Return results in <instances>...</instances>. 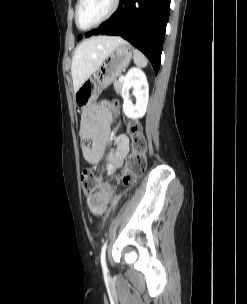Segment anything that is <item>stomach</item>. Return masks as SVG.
I'll return each instance as SVG.
<instances>
[{"instance_id":"stomach-1","label":"stomach","mask_w":247,"mask_h":304,"mask_svg":"<svg viewBox=\"0 0 247 304\" xmlns=\"http://www.w3.org/2000/svg\"><path fill=\"white\" fill-rule=\"evenodd\" d=\"M132 59V47L121 44L113 50L93 74L75 92L74 101L82 109L89 108L98 98L101 91L114 82Z\"/></svg>"}]
</instances>
